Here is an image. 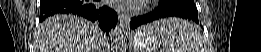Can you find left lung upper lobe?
<instances>
[{
  "mask_svg": "<svg viewBox=\"0 0 261 52\" xmlns=\"http://www.w3.org/2000/svg\"><path fill=\"white\" fill-rule=\"evenodd\" d=\"M161 4L164 5L184 4L189 7H192L193 9H196V5L194 4L193 0H161Z\"/></svg>",
  "mask_w": 261,
  "mask_h": 52,
  "instance_id": "obj_1",
  "label": "left lung upper lobe"
}]
</instances>
